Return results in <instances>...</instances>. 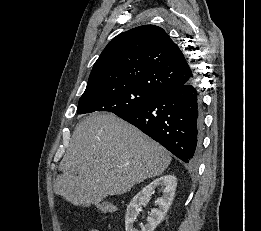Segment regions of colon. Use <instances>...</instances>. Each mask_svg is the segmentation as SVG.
I'll list each match as a JSON object with an SVG mask.
<instances>
[{
  "mask_svg": "<svg viewBox=\"0 0 261 231\" xmlns=\"http://www.w3.org/2000/svg\"><path fill=\"white\" fill-rule=\"evenodd\" d=\"M94 208L103 214H111L116 210V206L110 202L95 203Z\"/></svg>",
  "mask_w": 261,
  "mask_h": 231,
  "instance_id": "1",
  "label": "colon"
}]
</instances>
